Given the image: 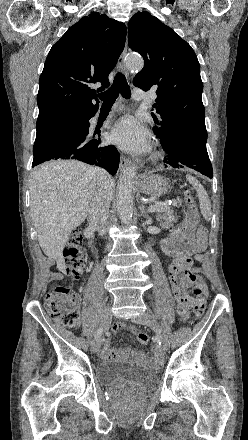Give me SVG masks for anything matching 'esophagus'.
I'll return each instance as SVG.
<instances>
[{
  "instance_id": "1",
  "label": "esophagus",
  "mask_w": 248,
  "mask_h": 440,
  "mask_svg": "<svg viewBox=\"0 0 248 440\" xmlns=\"http://www.w3.org/2000/svg\"><path fill=\"white\" fill-rule=\"evenodd\" d=\"M127 56V43L125 44V47L118 59V67L119 69L126 75L129 76L128 70L125 66V58ZM130 161L127 157L124 155H121L120 157V164H119V171L122 172L128 165Z\"/></svg>"
}]
</instances>
